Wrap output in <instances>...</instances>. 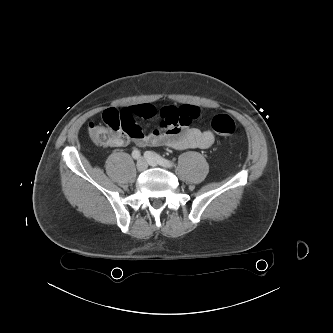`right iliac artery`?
Segmentation results:
<instances>
[{
    "label": "right iliac artery",
    "instance_id": "obj_1",
    "mask_svg": "<svg viewBox=\"0 0 333 333\" xmlns=\"http://www.w3.org/2000/svg\"><path fill=\"white\" fill-rule=\"evenodd\" d=\"M132 157H133L134 159H138V158L140 157V152H139V150H137V149L133 150V152H132Z\"/></svg>",
    "mask_w": 333,
    "mask_h": 333
}]
</instances>
